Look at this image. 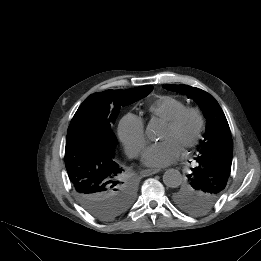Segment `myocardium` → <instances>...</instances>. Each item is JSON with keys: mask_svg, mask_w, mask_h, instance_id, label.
<instances>
[{"mask_svg": "<svg viewBox=\"0 0 261 261\" xmlns=\"http://www.w3.org/2000/svg\"><path fill=\"white\" fill-rule=\"evenodd\" d=\"M189 116H193L196 119L197 126L194 135L191 137L189 141H187L184 144L183 146L184 149H191L199 143L205 125V118L203 112L198 107L186 106L184 109L178 112L172 119L167 121V125H169L170 127L178 128L183 124L185 119Z\"/></svg>", "mask_w": 261, "mask_h": 261, "instance_id": "1", "label": "myocardium"}]
</instances>
